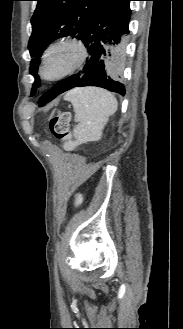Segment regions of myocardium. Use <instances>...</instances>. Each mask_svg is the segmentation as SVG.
<instances>
[{
  "instance_id": "f54148a6",
  "label": "myocardium",
  "mask_w": 183,
  "mask_h": 329,
  "mask_svg": "<svg viewBox=\"0 0 183 329\" xmlns=\"http://www.w3.org/2000/svg\"><path fill=\"white\" fill-rule=\"evenodd\" d=\"M65 44H69V45H73L74 47H76L79 51V58L78 61L75 63L74 66H72L70 69H68L67 71H64L63 73L57 75V76H53V77H47L44 74V65L45 62L48 58V55L51 53V51L61 45H65ZM88 57V50L85 46V44L80 40L77 39L75 37H64L61 38L55 42H53L52 44H50L43 52L42 57H41V62H40V67H39V74L41 76L42 79L46 80V81H57V80H61L71 74H73L74 72H76L77 70H79L84 63L86 62V59Z\"/></svg>"
}]
</instances>
